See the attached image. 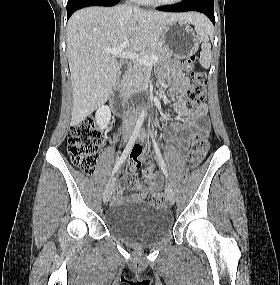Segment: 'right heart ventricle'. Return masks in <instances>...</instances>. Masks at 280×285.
Instances as JSON below:
<instances>
[{
    "mask_svg": "<svg viewBox=\"0 0 280 285\" xmlns=\"http://www.w3.org/2000/svg\"><path fill=\"white\" fill-rule=\"evenodd\" d=\"M138 1H140L142 3H148V0H138Z\"/></svg>",
    "mask_w": 280,
    "mask_h": 285,
    "instance_id": "e07e8e85",
    "label": "right heart ventricle"
}]
</instances>
